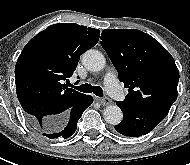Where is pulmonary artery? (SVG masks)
<instances>
[{
    "label": "pulmonary artery",
    "mask_w": 190,
    "mask_h": 165,
    "mask_svg": "<svg viewBox=\"0 0 190 165\" xmlns=\"http://www.w3.org/2000/svg\"><path fill=\"white\" fill-rule=\"evenodd\" d=\"M104 84L107 92L114 98L120 99L123 95L122 89L118 84L116 74L113 71L106 73L104 77Z\"/></svg>",
    "instance_id": "e3ab8cb5"
}]
</instances>
